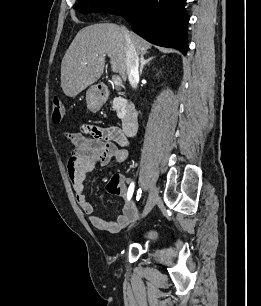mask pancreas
I'll list each match as a JSON object with an SVG mask.
<instances>
[{
    "mask_svg": "<svg viewBox=\"0 0 261 306\" xmlns=\"http://www.w3.org/2000/svg\"><path fill=\"white\" fill-rule=\"evenodd\" d=\"M112 107L117 112V116L122 118L125 113V99L122 97H117L113 100Z\"/></svg>",
    "mask_w": 261,
    "mask_h": 306,
    "instance_id": "cf45deb5",
    "label": "pancreas"
}]
</instances>
